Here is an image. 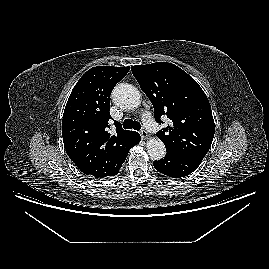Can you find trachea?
I'll return each instance as SVG.
<instances>
[{
  "instance_id": "1",
  "label": "trachea",
  "mask_w": 269,
  "mask_h": 269,
  "mask_svg": "<svg viewBox=\"0 0 269 269\" xmlns=\"http://www.w3.org/2000/svg\"><path fill=\"white\" fill-rule=\"evenodd\" d=\"M123 127L125 129H134L139 131L141 129V125L138 121H133L132 119H125L123 122Z\"/></svg>"
}]
</instances>
